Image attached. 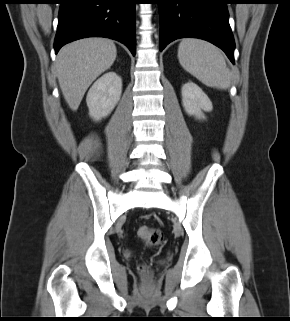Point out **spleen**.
I'll return each mask as SVG.
<instances>
[{
  "label": "spleen",
  "mask_w": 290,
  "mask_h": 321,
  "mask_svg": "<svg viewBox=\"0 0 290 321\" xmlns=\"http://www.w3.org/2000/svg\"><path fill=\"white\" fill-rule=\"evenodd\" d=\"M182 67L210 87L227 89L231 84L230 70L220 50L206 41L184 39L178 47Z\"/></svg>",
  "instance_id": "3e777b00"
}]
</instances>
